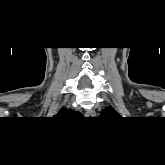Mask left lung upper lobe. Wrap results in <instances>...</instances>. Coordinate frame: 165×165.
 Listing matches in <instances>:
<instances>
[{
    "label": "left lung upper lobe",
    "mask_w": 165,
    "mask_h": 165,
    "mask_svg": "<svg viewBox=\"0 0 165 165\" xmlns=\"http://www.w3.org/2000/svg\"><path fill=\"white\" fill-rule=\"evenodd\" d=\"M106 114H117L119 115L113 108H106L102 113L101 115H106Z\"/></svg>",
    "instance_id": "obj_1"
}]
</instances>
